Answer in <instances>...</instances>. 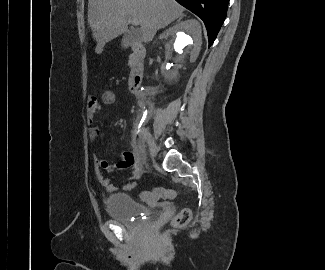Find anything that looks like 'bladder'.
Instances as JSON below:
<instances>
[{
	"instance_id": "bladder-1",
	"label": "bladder",
	"mask_w": 325,
	"mask_h": 270,
	"mask_svg": "<svg viewBox=\"0 0 325 270\" xmlns=\"http://www.w3.org/2000/svg\"><path fill=\"white\" fill-rule=\"evenodd\" d=\"M106 211L110 218L128 227L147 218L149 210L127 194H112L106 199Z\"/></svg>"
}]
</instances>
